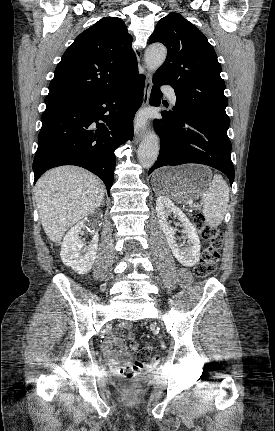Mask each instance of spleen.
Returning a JSON list of instances; mask_svg holds the SVG:
<instances>
[{"label": "spleen", "mask_w": 275, "mask_h": 431, "mask_svg": "<svg viewBox=\"0 0 275 431\" xmlns=\"http://www.w3.org/2000/svg\"><path fill=\"white\" fill-rule=\"evenodd\" d=\"M202 202L203 207L201 210L209 225H220L229 202V187L222 176L214 175L212 184L202 194Z\"/></svg>", "instance_id": "obj_1"}]
</instances>
